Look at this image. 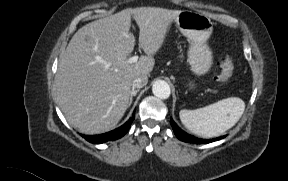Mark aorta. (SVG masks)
I'll list each match as a JSON object with an SVG mask.
<instances>
[{"label":"aorta","mask_w":288,"mask_h":181,"mask_svg":"<svg viewBox=\"0 0 288 181\" xmlns=\"http://www.w3.org/2000/svg\"><path fill=\"white\" fill-rule=\"evenodd\" d=\"M153 94L160 99H167L171 94L170 86L167 82L158 80L152 86Z\"/></svg>","instance_id":"aorta-1"}]
</instances>
